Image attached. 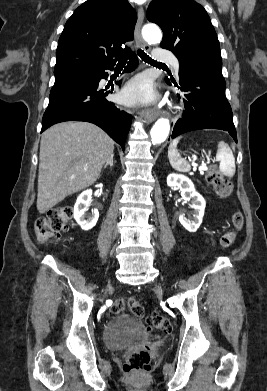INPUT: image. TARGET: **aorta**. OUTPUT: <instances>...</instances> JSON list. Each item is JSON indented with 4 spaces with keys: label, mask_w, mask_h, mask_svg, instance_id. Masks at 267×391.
<instances>
[{
    "label": "aorta",
    "mask_w": 267,
    "mask_h": 391,
    "mask_svg": "<svg viewBox=\"0 0 267 391\" xmlns=\"http://www.w3.org/2000/svg\"><path fill=\"white\" fill-rule=\"evenodd\" d=\"M144 40L149 44H158L161 42L162 33L154 24H147L142 29ZM170 132V123L168 119L160 118L156 121L150 131L153 144H160L166 140Z\"/></svg>",
    "instance_id": "obj_1"
}]
</instances>
